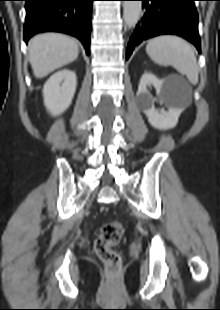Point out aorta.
Returning <instances> with one entry per match:
<instances>
[{"label": "aorta", "mask_w": 220, "mask_h": 310, "mask_svg": "<svg viewBox=\"0 0 220 310\" xmlns=\"http://www.w3.org/2000/svg\"><path fill=\"white\" fill-rule=\"evenodd\" d=\"M141 14L140 1H124L123 3V17L128 28L134 27Z\"/></svg>", "instance_id": "762f6f07"}]
</instances>
